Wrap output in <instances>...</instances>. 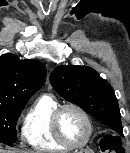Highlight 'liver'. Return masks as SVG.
Returning <instances> with one entry per match:
<instances>
[{
	"instance_id": "liver-1",
	"label": "liver",
	"mask_w": 130,
	"mask_h": 153,
	"mask_svg": "<svg viewBox=\"0 0 130 153\" xmlns=\"http://www.w3.org/2000/svg\"><path fill=\"white\" fill-rule=\"evenodd\" d=\"M0 153H13V152H11V151H6V150H3V149L0 148ZM29 153H33V152H29Z\"/></svg>"
}]
</instances>
